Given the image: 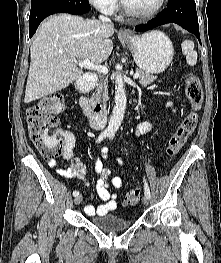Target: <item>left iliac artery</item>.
<instances>
[{
  "mask_svg": "<svg viewBox=\"0 0 221 263\" xmlns=\"http://www.w3.org/2000/svg\"><path fill=\"white\" fill-rule=\"evenodd\" d=\"M113 136H114L113 134H110L109 138L112 139ZM144 193H145V196H147L148 198L151 197L150 189H149L148 184L146 183L145 179H144Z\"/></svg>",
  "mask_w": 221,
  "mask_h": 263,
  "instance_id": "obj_1",
  "label": "left iliac artery"
}]
</instances>
